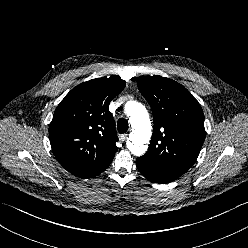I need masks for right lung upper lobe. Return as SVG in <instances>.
<instances>
[{"mask_svg":"<svg viewBox=\"0 0 248 248\" xmlns=\"http://www.w3.org/2000/svg\"><path fill=\"white\" fill-rule=\"evenodd\" d=\"M121 78H96L73 88L60 102L49 126L58 162L70 173L92 178L112 163L117 134L110 101L125 87Z\"/></svg>","mask_w":248,"mask_h":248,"instance_id":"cb5924a9","label":"right lung upper lobe"}]
</instances>
